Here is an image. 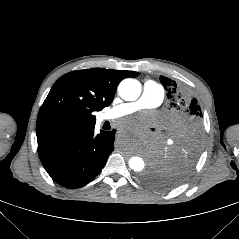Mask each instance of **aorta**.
<instances>
[{
  "label": "aorta",
  "mask_w": 239,
  "mask_h": 239,
  "mask_svg": "<svg viewBox=\"0 0 239 239\" xmlns=\"http://www.w3.org/2000/svg\"><path fill=\"white\" fill-rule=\"evenodd\" d=\"M118 93L122 99L134 101L138 99L141 94V85L139 81L135 79H124L118 86ZM144 166V160L138 156H133L129 159V167L134 171H142Z\"/></svg>",
  "instance_id": "1"
}]
</instances>
